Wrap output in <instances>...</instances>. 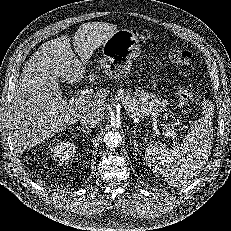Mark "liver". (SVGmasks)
<instances>
[{
  "label": "liver",
  "mask_w": 231,
  "mask_h": 231,
  "mask_svg": "<svg viewBox=\"0 0 231 231\" xmlns=\"http://www.w3.org/2000/svg\"><path fill=\"white\" fill-rule=\"evenodd\" d=\"M117 26L105 22L83 24L73 37L68 35L43 43L29 58L20 75L9 123L11 143L16 153L44 142L56 133L75 124L86 113L99 122L104 118L108 91H100L87 103L67 101L59 81L80 82L93 51L102 45ZM94 77V75H89Z\"/></svg>",
  "instance_id": "1"
}]
</instances>
